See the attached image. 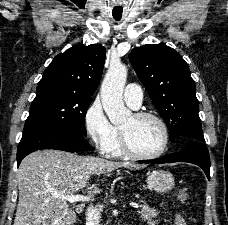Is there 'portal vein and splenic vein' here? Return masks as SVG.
Returning a JSON list of instances; mask_svg holds the SVG:
<instances>
[{"mask_svg": "<svg viewBox=\"0 0 228 225\" xmlns=\"http://www.w3.org/2000/svg\"><path fill=\"white\" fill-rule=\"evenodd\" d=\"M57 197H61V199H66V201H69V203H77V201H89V197H83V195H74V197H71V195H57ZM132 207H136L138 209V205L136 203H131Z\"/></svg>", "mask_w": 228, "mask_h": 225, "instance_id": "obj_1", "label": "portal vein and splenic vein"}]
</instances>
